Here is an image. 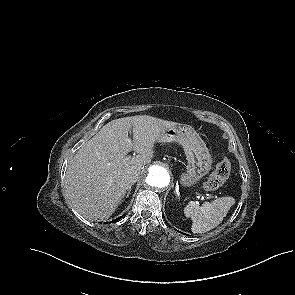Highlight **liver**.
Masks as SVG:
<instances>
[{"label":"liver","mask_w":295,"mask_h":295,"mask_svg":"<svg viewBox=\"0 0 295 295\" xmlns=\"http://www.w3.org/2000/svg\"><path fill=\"white\" fill-rule=\"evenodd\" d=\"M176 125L148 115L119 118L104 125L69 161L65 189L74 209L88 220L108 219L134 183L128 175L133 171L140 174L151 162L160 134ZM132 149L138 154L127 156Z\"/></svg>","instance_id":"liver-1"}]
</instances>
